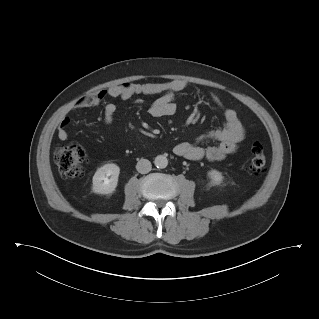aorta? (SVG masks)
<instances>
[{
    "label": "aorta",
    "mask_w": 319,
    "mask_h": 319,
    "mask_svg": "<svg viewBox=\"0 0 319 319\" xmlns=\"http://www.w3.org/2000/svg\"><path fill=\"white\" fill-rule=\"evenodd\" d=\"M154 164L157 168L163 169L167 167L168 160L164 155H158L154 160Z\"/></svg>",
    "instance_id": "762f6f07"
}]
</instances>
